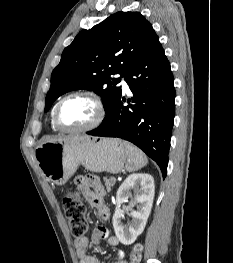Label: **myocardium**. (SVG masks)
Listing matches in <instances>:
<instances>
[{"mask_svg":"<svg viewBox=\"0 0 233 263\" xmlns=\"http://www.w3.org/2000/svg\"><path fill=\"white\" fill-rule=\"evenodd\" d=\"M73 97H86L90 99L95 104L96 110H97L96 116L91 123H89L88 125L84 127L77 128V129L67 128L63 126L59 119V112H60V108L62 104L68 99L73 98ZM105 114H106L105 105L102 99L100 98V96H98L96 93L91 92V91H76V92H72L64 96L61 100L58 101L54 109L53 121H54L55 126L63 132L82 133V132L91 131L97 128L104 120Z\"/></svg>","mask_w":233,"mask_h":263,"instance_id":"myocardium-1","label":"myocardium"}]
</instances>
